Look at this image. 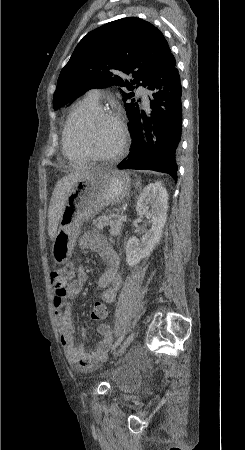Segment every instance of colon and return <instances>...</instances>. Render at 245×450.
I'll use <instances>...</instances> for the list:
<instances>
[{"mask_svg":"<svg viewBox=\"0 0 245 450\" xmlns=\"http://www.w3.org/2000/svg\"><path fill=\"white\" fill-rule=\"evenodd\" d=\"M68 270L65 272V274H68ZM62 293L65 292V288L62 287L61 290ZM90 316L94 321L97 322H104L108 318V311L107 307L103 302H95L92 304L90 309Z\"/></svg>","mask_w":245,"mask_h":450,"instance_id":"1","label":"colon"}]
</instances>
